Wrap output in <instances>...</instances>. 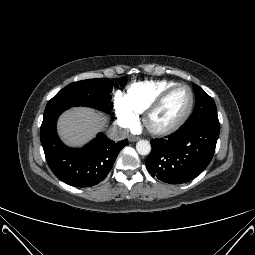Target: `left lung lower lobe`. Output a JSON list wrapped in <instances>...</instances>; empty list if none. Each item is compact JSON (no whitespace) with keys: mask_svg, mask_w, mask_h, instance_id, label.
Masks as SVG:
<instances>
[{"mask_svg":"<svg viewBox=\"0 0 255 255\" xmlns=\"http://www.w3.org/2000/svg\"><path fill=\"white\" fill-rule=\"evenodd\" d=\"M220 126L180 128L166 138L151 140L146 167L153 177L181 184L197 177L212 160Z\"/></svg>","mask_w":255,"mask_h":255,"instance_id":"0a47b994","label":"left lung lower lobe"}]
</instances>
